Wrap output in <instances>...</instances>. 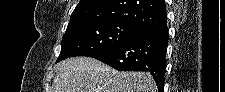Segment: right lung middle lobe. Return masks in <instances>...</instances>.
Listing matches in <instances>:
<instances>
[{
  "label": "right lung middle lobe",
  "mask_w": 225,
  "mask_h": 92,
  "mask_svg": "<svg viewBox=\"0 0 225 92\" xmlns=\"http://www.w3.org/2000/svg\"><path fill=\"white\" fill-rule=\"evenodd\" d=\"M142 31L120 22L87 23L68 28L56 62L75 56H90L127 42Z\"/></svg>",
  "instance_id": "1"
}]
</instances>
